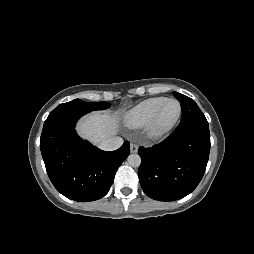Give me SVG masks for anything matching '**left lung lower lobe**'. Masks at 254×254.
I'll list each match as a JSON object with an SVG mask.
<instances>
[{"label":"left lung lower lobe","instance_id":"0a47b994","mask_svg":"<svg viewBox=\"0 0 254 254\" xmlns=\"http://www.w3.org/2000/svg\"><path fill=\"white\" fill-rule=\"evenodd\" d=\"M208 122L179 124L161 143L140 147L138 169L143 191L152 199L175 201L190 194L201 181L209 158Z\"/></svg>","mask_w":254,"mask_h":254}]
</instances>
